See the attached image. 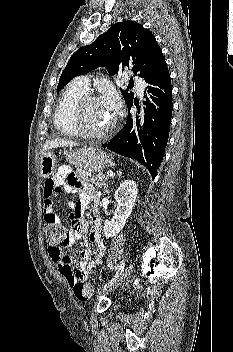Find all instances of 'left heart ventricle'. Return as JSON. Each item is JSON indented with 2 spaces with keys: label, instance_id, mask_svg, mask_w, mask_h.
I'll return each instance as SVG.
<instances>
[{
  "label": "left heart ventricle",
  "instance_id": "obj_1",
  "mask_svg": "<svg viewBox=\"0 0 233 352\" xmlns=\"http://www.w3.org/2000/svg\"><path fill=\"white\" fill-rule=\"evenodd\" d=\"M114 115L105 107L102 100L88 102L83 110V124L92 131H100L107 128Z\"/></svg>",
  "mask_w": 233,
  "mask_h": 352
}]
</instances>
